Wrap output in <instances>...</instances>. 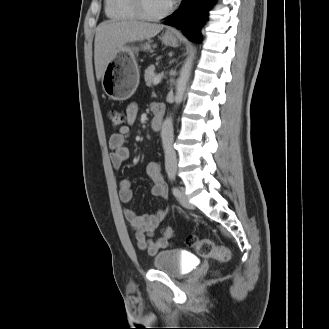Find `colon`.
Wrapping results in <instances>:
<instances>
[{"label": "colon", "instance_id": "5ec220e1", "mask_svg": "<svg viewBox=\"0 0 329 329\" xmlns=\"http://www.w3.org/2000/svg\"><path fill=\"white\" fill-rule=\"evenodd\" d=\"M109 116L114 129H121L125 126L127 118L123 112L114 109L109 112ZM162 235L166 240L172 239L175 236V228L173 226L164 227ZM187 244L203 258H211L219 262H228L231 258L230 251L226 247L217 245L205 237L190 235L187 238Z\"/></svg>", "mask_w": 329, "mask_h": 329}]
</instances>
